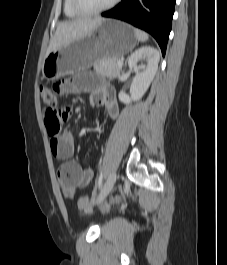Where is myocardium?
I'll list each match as a JSON object with an SVG mask.
<instances>
[{
	"instance_id": "obj_1",
	"label": "myocardium",
	"mask_w": 227,
	"mask_h": 265,
	"mask_svg": "<svg viewBox=\"0 0 227 265\" xmlns=\"http://www.w3.org/2000/svg\"><path fill=\"white\" fill-rule=\"evenodd\" d=\"M121 0H111L108 4L96 8V9H86L82 6L80 0H71L73 9L81 15H96L106 12L113 7H115Z\"/></svg>"
}]
</instances>
